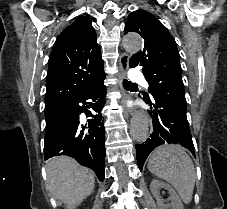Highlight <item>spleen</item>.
Returning <instances> with one entry per match:
<instances>
[{
  "label": "spleen",
  "mask_w": 227,
  "mask_h": 209,
  "mask_svg": "<svg viewBox=\"0 0 227 209\" xmlns=\"http://www.w3.org/2000/svg\"><path fill=\"white\" fill-rule=\"evenodd\" d=\"M148 171L176 189L183 203L192 201L196 173L187 153L178 145H162L148 161Z\"/></svg>",
  "instance_id": "spleen-1"
}]
</instances>
